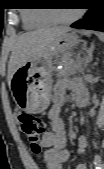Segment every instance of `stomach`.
I'll list each match as a JSON object with an SVG mask.
<instances>
[{"mask_svg":"<svg viewBox=\"0 0 104 169\" xmlns=\"http://www.w3.org/2000/svg\"><path fill=\"white\" fill-rule=\"evenodd\" d=\"M79 42L80 38L76 32L64 33L41 54L16 70L10 82V90L20 110L37 114L49 107L55 59Z\"/></svg>","mask_w":104,"mask_h":169,"instance_id":"obj_1","label":"stomach"}]
</instances>
